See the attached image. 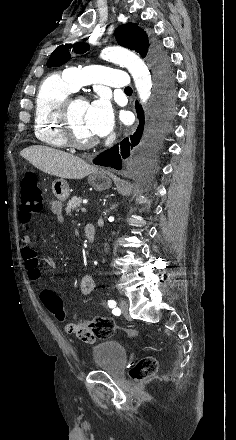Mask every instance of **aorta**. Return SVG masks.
<instances>
[{"label": "aorta", "instance_id": "aorta-1", "mask_svg": "<svg viewBox=\"0 0 236 440\" xmlns=\"http://www.w3.org/2000/svg\"><path fill=\"white\" fill-rule=\"evenodd\" d=\"M101 57L128 69L132 75L141 103H146L151 95L152 80L144 61L128 49L111 46L103 49Z\"/></svg>", "mask_w": 236, "mask_h": 440}]
</instances>
